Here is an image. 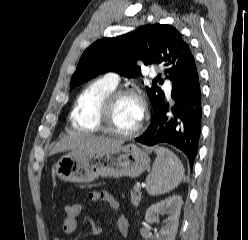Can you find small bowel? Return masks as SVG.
<instances>
[{
    "label": "small bowel",
    "mask_w": 248,
    "mask_h": 240,
    "mask_svg": "<svg viewBox=\"0 0 248 240\" xmlns=\"http://www.w3.org/2000/svg\"><path fill=\"white\" fill-rule=\"evenodd\" d=\"M89 198L94 202H104L108 205L109 210L112 212L117 211L118 203L116 199L106 191H93L90 193ZM85 221L90 225L93 234H100L103 231L101 222L93 220L90 218H85ZM117 227L119 231L126 236L129 232V224L124 215H119L117 218ZM77 228V217H65L62 230L65 235H72ZM54 240H61L60 238H55Z\"/></svg>",
    "instance_id": "c3829d8e"
}]
</instances>
